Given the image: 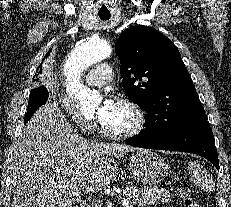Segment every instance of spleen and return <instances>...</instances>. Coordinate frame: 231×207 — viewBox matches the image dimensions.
I'll list each match as a JSON object with an SVG mask.
<instances>
[{
    "mask_svg": "<svg viewBox=\"0 0 231 207\" xmlns=\"http://www.w3.org/2000/svg\"><path fill=\"white\" fill-rule=\"evenodd\" d=\"M188 171H189V174H190L192 180L196 184H198V185L204 184L202 166H201L200 163H198V162H190L188 164Z\"/></svg>",
    "mask_w": 231,
    "mask_h": 207,
    "instance_id": "spleen-1",
    "label": "spleen"
}]
</instances>
